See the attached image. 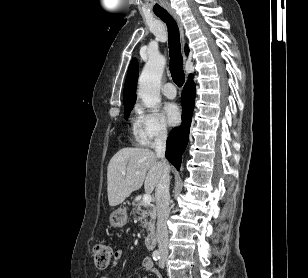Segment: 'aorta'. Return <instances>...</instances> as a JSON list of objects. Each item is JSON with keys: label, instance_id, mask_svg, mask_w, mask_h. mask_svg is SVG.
<instances>
[{"label": "aorta", "instance_id": "aorta-1", "mask_svg": "<svg viewBox=\"0 0 308 278\" xmlns=\"http://www.w3.org/2000/svg\"><path fill=\"white\" fill-rule=\"evenodd\" d=\"M165 67V59L161 55H152L145 64L139 77L138 96L148 108L161 101L160 83Z\"/></svg>", "mask_w": 308, "mask_h": 278}]
</instances>
